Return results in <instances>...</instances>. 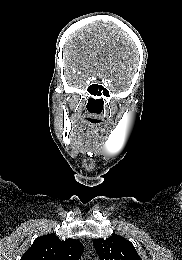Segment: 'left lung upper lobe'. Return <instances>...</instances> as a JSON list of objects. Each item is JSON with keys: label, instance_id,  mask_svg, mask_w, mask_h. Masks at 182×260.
Masks as SVG:
<instances>
[{"label": "left lung upper lobe", "instance_id": "left-lung-upper-lobe-1", "mask_svg": "<svg viewBox=\"0 0 182 260\" xmlns=\"http://www.w3.org/2000/svg\"><path fill=\"white\" fill-rule=\"evenodd\" d=\"M93 246L100 260H142L133 244L119 235L94 239Z\"/></svg>", "mask_w": 182, "mask_h": 260}]
</instances>
